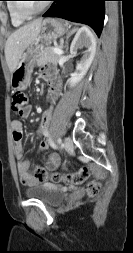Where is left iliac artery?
<instances>
[{
  "label": "left iliac artery",
  "instance_id": "1",
  "mask_svg": "<svg viewBox=\"0 0 133 253\" xmlns=\"http://www.w3.org/2000/svg\"><path fill=\"white\" fill-rule=\"evenodd\" d=\"M57 143H58V144H61V143H62L61 138H58Z\"/></svg>",
  "mask_w": 133,
  "mask_h": 253
}]
</instances>
